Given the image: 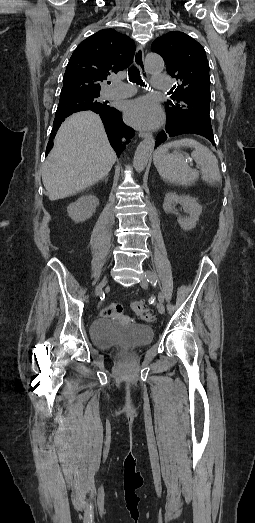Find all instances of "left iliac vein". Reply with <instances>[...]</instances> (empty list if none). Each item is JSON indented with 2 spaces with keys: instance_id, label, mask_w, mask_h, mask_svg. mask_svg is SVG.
I'll use <instances>...</instances> for the list:
<instances>
[{
  "instance_id": "4c4485c4",
  "label": "left iliac vein",
  "mask_w": 255,
  "mask_h": 523,
  "mask_svg": "<svg viewBox=\"0 0 255 523\" xmlns=\"http://www.w3.org/2000/svg\"><path fill=\"white\" fill-rule=\"evenodd\" d=\"M149 273H152V272H150V271H146V272H145V276H144V277L141 279V281H140V285H141V287L144 288V289H146V288L148 287L147 275H148ZM152 275L154 276L155 279H157V277H156V275H155L154 273H152ZM156 307H157V309H158V311H159L160 314H163V313L165 312V307H164V305H163L162 302H160V301L157 302Z\"/></svg>"
}]
</instances>
